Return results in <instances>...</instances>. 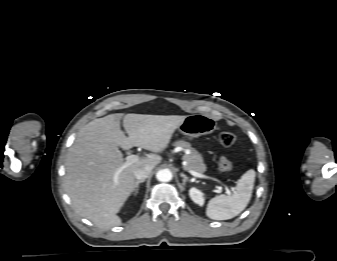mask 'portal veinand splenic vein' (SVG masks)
<instances>
[{"label": "portal vein and splenic vein", "mask_w": 337, "mask_h": 261, "mask_svg": "<svg viewBox=\"0 0 337 261\" xmlns=\"http://www.w3.org/2000/svg\"><path fill=\"white\" fill-rule=\"evenodd\" d=\"M139 160V157L137 155H129L126 157V161L124 162V164L117 169L116 171V175H115V180H117L118 175L128 166L132 165L133 163L137 162ZM189 173L194 176V177H198V178H204V179H209V180H213L216 181L218 183H220L221 185H223L226 189L227 194H232L233 191V187H228L227 185L223 184L220 180H218L217 178L214 177H210L201 173H198L196 171L193 170H189ZM219 192L221 191V188H219L218 190Z\"/></svg>", "instance_id": "18ae733b"}]
</instances>
